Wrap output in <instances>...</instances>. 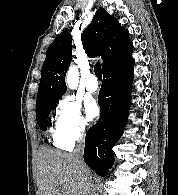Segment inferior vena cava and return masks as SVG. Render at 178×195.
Returning a JSON list of instances; mask_svg holds the SVG:
<instances>
[{
    "label": "inferior vena cava",
    "instance_id": "1",
    "mask_svg": "<svg viewBox=\"0 0 178 195\" xmlns=\"http://www.w3.org/2000/svg\"><path fill=\"white\" fill-rule=\"evenodd\" d=\"M84 144H85V138L84 136H81L78 141H77V145L75 150L73 151V156L76 159L80 171L87 176L88 178L91 179L90 175H89V171L87 166L85 165V163L83 162V150H84ZM89 195H96L95 194V186L93 184V181L91 180L90 182V190H89Z\"/></svg>",
    "mask_w": 178,
    "mask_h": 195
}]
</instances>
